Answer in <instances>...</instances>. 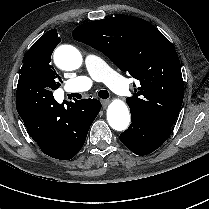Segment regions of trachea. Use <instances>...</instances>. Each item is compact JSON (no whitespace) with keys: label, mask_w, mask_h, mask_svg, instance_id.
Masks as SVG:
<instances>
[{"label":"trachea","mask_w":209,"mask_h":209,"mask_svg":"<svg viewBox=\"0 0 209 209\" xmlns=\"http://www.w3.org/2000/svg\"><path fill=\"white\" fill-rule=\"evenodd\" d=\"M98 96L102 99H107L109 97V93L106 90H100L98 92Z\"/></svg>","instance_id":"obj_1"}]
</instances>
